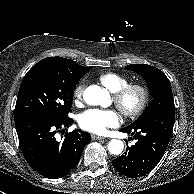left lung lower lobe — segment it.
I'll return each instance as SVG.
<instances>
[{
	"label": "left lung lower lobe",
	"mask_w": 194,
	"mask_h": 194,
	"mask_svg": "<svg viewBox=\"0 0 194 194\" xmlns=\"http://www.w3.org/2000/svg\"><path fill=\"white\" fill-rule=\"evenodd\" d=\"M175 110L156 111L138 119L120 131L134 136L136 144L113 160L114 168L129 178L149 173L159 163L169 144Z\"/></svg>",
	"instance_id": "obj_1"
}]
</instances>
